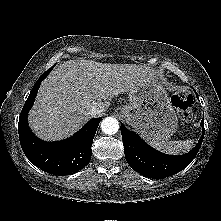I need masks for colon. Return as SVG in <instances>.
Segmentation results:
<instances>
[{
	"label": "colon",
	"mask_w": 221,
	"mask_h": 221,
	"mask_svg": "<svg viewBox=\"0 0 221 221\" xmlns=\"http://www.w3.org/2000/svg\"><path fill=\"white\" fill-rule=\"evenodd\" d=\"M171 101L182 120L188 122L192 119L193 95L190 91L182 90L175 93Z\"/></svg>",
	"instance_id": "5ec220e1"
}]
</instances>
